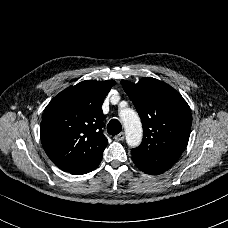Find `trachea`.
Returning <instances> with one entry per match:
<instances>
[{
	"label": "trachea",
	"mask_w": 228,
	"mask_h": 228,
	"mask_svg": "<svg viewBox=\"0 0 228 228\" xmlns=\"http://www.w3.org/2000/svg\"><path fill=\"white\" fill-rule=\"evenodd\" d=\"M122 131V125L117 119H111L107 125V132L115 136Z\"/></svg>",
	"instance_id": "3493384b"
}]
</instances>
